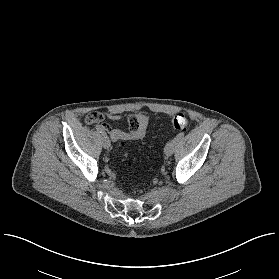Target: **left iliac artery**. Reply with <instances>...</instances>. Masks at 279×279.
<instances>
[{"label": "left iliac artery", "mask_w": 279, "mask_h": 279, "mask_svg": "<svg viewBox=\"0 0 279 279\" xmlns=\"http://www.w3.org/2000/svg\"><path fill=\"white\" fill-rule=\"evenodd\" d=\"M183 136H184V132H180V133L176 136L175 141H178V140L181 139Z\"/></svg>", "instance_id": "left-iliac-artery-1"}]
</instances>
